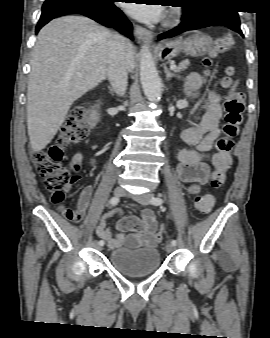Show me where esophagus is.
Returning <instances> with one entry per match:
<instances>
[{
  "instance_id": "1",
  "label": "esophagus",
  "mask_w": 270,
  "mask_h": 338,
  "mask_svg": "<svg viewBox=\"0 0 270 338\" xmlns=\"http://www.w3.org/2000/svg\"><path fill=\"white\" fill-rule=\"evenodd\" d=\"M134 35L141 42H147V43H150V44H152V42H153L152 33L149 30H147L146 28H144L140 25L134 26Z\"/></svg>"
}]
</instances>
